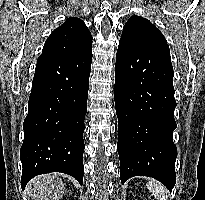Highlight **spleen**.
Wrapping results in <instances>:
<instances>
[{"mask_svg":"<svg viewBox=\"0 0 205 200\" xmlns=\"http://www.w3.org/2000/svg\"><path fill=\"white\" fill-rule=\"evenodd\" d=\"M146 186L157 200H168V191L160 182L151 179Z\"/></svg>","mask_w":205,"mask_h":200,"instance_id":"spleen-1","label":"spleen"}]
</instances>
